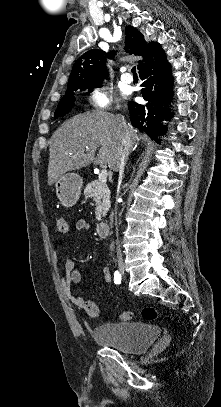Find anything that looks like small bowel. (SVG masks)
I'll list each match as a JSON object with an SVG mask.
<instances>
[{
    "instance_id": "obj_1",
    "label": "small bowel",
    "mask_w": 221,
    "mask_h": 407,
    "mask_svg": "<svg viewBox=\"0 0 221 407\" xmlns=\"http://www.w3.org/2000/svg\"><path fill=\"white\" fill-rule=\"evenodd\" d=\"M89 224L84 219H77L74 223V228L77 231H87L89 230ZM60 251V244H56L52 251V256L55 260H58ZM104 272V279L106 283L111 282V275L110 270L105 267L103 269ZM82 280L81 271L74 266V263L70 257H67L64 263V274L61 276L60 279V287L62 291L65 293L66 297L70 301V303L78 308L84 307L85 300L81 295L74 294L72 292V285L80 284Z\"/></svg>"
}]
</instances>
